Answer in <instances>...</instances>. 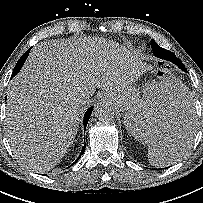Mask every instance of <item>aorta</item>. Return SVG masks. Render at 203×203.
Wrapping results in <instances>:
<instances>
[{"instance_id": "aorta-1", "label": "aorta", "mask_w": 203, "mask_h": 203, "mask_svg": "<svg viewBox=\"0 0 203 203\" xmlns=\"http://www.w3.org/2000/svg\"><path fill=\"white\" fill-rule=\"evenodd\" d=\"M94 114L100 121H110L114 118L115 109L110 103L102 102L96 105Z\"/></svg>"}]
</instances>
